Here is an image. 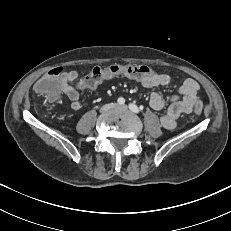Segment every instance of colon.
I'll return each instance as SVG.
<instances>
[{
    "label": "colon",
    "instance_id": "obj_1",
    "mask_svg": "<svg viewBox=\"0 0 231 231\" xmlns=\"http://www.w3.org/2000/svg\"><path fill=\"white\" fill-rule=\"evenodd\" d=\"M151 69L147 66L142 65H120L114 64L108 67H95L91 72L83 78L78 86L81 89H94L102 81L116 77V76H125L129 77L136 86H138V78L142 76H150L156 74H162L164 72H155L150 71ZM62 73V68H54L48 74L42 75L41 79L34 85V92L36 94H43L48 96L52 100L58 99L60 95V88L58 84V76ZM139 87V86H138ZM191 108L193 109V114L196 117L201 116L202 111L205 109V102L202 99L193 100L190 103Z\"/></svg>",
    "mask_w": 231,
    "mask_h": 231
}]
</instances>
